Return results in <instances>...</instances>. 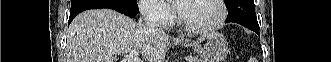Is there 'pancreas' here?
<instances>
[{"mask_svg":"<svg viewBox=\"0 0 331 62\" xmlns=\"http://www.w3.org/2000/svg\"><path fill=\"white\" fill-rule=\"evenodd\" d=\"M187 61L188 62H203V60H200L198 57H194V56H187Z\"/></svg>","mask_w":331,"mask_h":62,"instance_id":"obj_1","label":"pancreas"}]
</instances>
